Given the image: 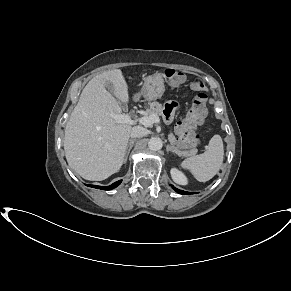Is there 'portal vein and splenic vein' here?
<instances>
[{
	"label": "portal vein and splenic vein",
	"mask_w": 291,
	"mask_h": 291,
	"mask_svg": "<svg viewBox=\"0 0 291 291\" xmlns=\"http://www.w3.org/2000/svg\"><path fill=\"white\" fill-rule=\"evenodd\" d=\"M110 116L117 122V123H126L133 125L136 123L135 120H132L131 117L127 114H115L111 113ZM139 123L144 126H151L154 123H159L160 119L159 116L156 114H152L149 116H143L138 119Z\"/></svg>",
	"instance_id": "1"
}]
</instances>
